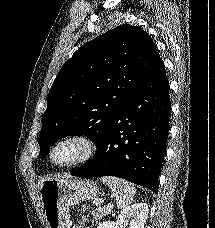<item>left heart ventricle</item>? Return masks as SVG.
<instances>
[{"mask_svg":"<svg viewBox=\"0 0 215 228\" xmlns=\"http://www.w3.org/2000/svg\"><path fill=\"white\" fill-rule=\"evenodd\" d=\"M73 154V149L69 146H65L61 149H59L55 154H54V160L56 161H63L68 158H70Z\"/></svg>","mask_w":215,"mask_h":228,"instance_id":"1","label":"left heart ventricle"}]
</instances>
